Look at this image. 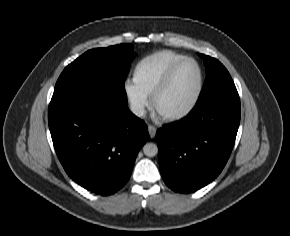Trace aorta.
Here are the masks:
<instances>
[{
  "label": "aorta",
  "mask_w": 290,
  "mask_h": 236,
  "mask_svg": "<svg viewBox=\"0 0 290 236\" xmlns=\"http://www.w3.org/2000/svg\"><path fill=\"white\" fill-rule=\"evenodd\" d=\"M143 152L148 157H154L158 154V147L154 143H146L143 146Z\"/></svg>",
  "instance_id": "aorta-1"
}]
</instances>
